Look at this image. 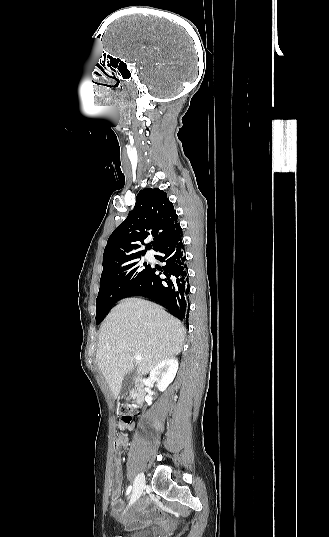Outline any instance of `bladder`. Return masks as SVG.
Segmentation results:
<instances>
[{
  "instance_id": "obj_1",
  "label": "bladder",
  "mask_w": 329,
  "mask_h": 537,
  "mask_svg": "<svg viewBox=\"0 0 329 537\" xmlns=\"http://www.w3.org/2000/svg\"><path fill=\"white\" fill-rule=\"evenodd\" d=\"M151 531L150 530H136L131 533H129L125 537H151Z\"/></svg>"
}]
</instances>
